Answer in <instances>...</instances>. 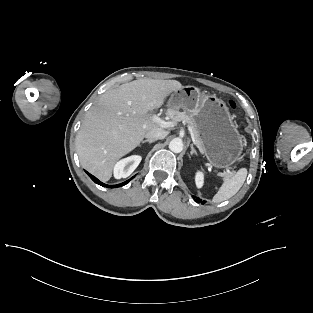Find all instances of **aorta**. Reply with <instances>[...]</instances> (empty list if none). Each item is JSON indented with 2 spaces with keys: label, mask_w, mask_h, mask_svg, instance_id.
<instances>
[{
  "label": "aorta",
  "mask_w": 313,
  "mask_h": 313,
  "mask_svg": "<svg viewBox=\"0 0 313 313\" xmlns=\"http://www.w3.org/2000/svg\"><path fill=\"white\" fill-rule=\"evenodd\" d=\"M169 149L174 153H180L183 150V143L180 139L175 138L170 141Z\"/></svg>",
  "instance_id": "1"
}]
</instances>
